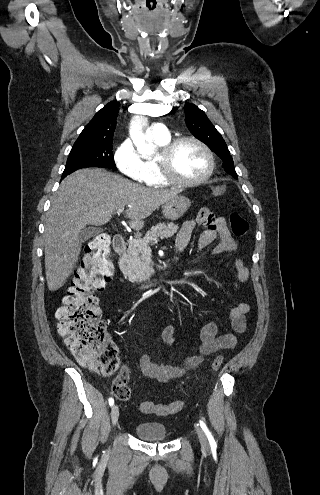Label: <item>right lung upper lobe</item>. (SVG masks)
<instances>
[{"mask_svg": "<svg viewBox=\"0 0 320 495\" xmlns=\"http://www.w3.org/2000/svg\"><path fill=\"white\" fill-rule=\"evenodd\" d=\"M120 104L111 101L85 126L75 145L112 144Z\"/></svg>", "mask_w": 320, "mask_h": 495, "instance_id": "cb5924a9", "label": "right lung upper lobe"}]
</instances>
